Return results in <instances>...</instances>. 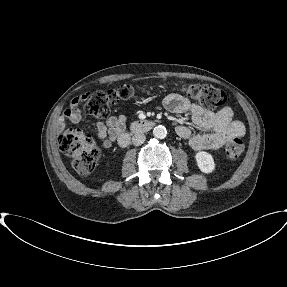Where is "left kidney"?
<instances>
[{
	"label": "left kidney",
	"mask_w": 287,
	"mask_h": 287,
	"mask_svg": "<svg viewBox=\"0 0 287 287\" xmlns=\"http://www.w3.org/2000/svg\"><path fill=\"white\" fill-rule=\"evenodd\" d=\"M197 165L203 173H211L215 169V163L212 155L201 151L195 155Z\"/></svg>",
	"instance_id": "1"
}]
</instances>
